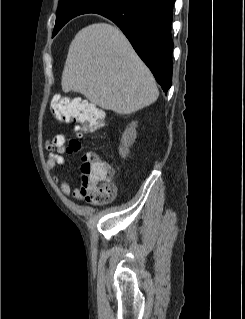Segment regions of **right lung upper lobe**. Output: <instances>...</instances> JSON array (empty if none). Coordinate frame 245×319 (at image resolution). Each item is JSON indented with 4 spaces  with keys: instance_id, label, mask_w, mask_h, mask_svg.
<instances>
[{
    "instance_id": "obj_1",
    "label": "right lung upper lobe",
    "mask_w": 245,
    "mask_h": 319,
    "mask_svg": "<svg viewBox=\"0 0 245 319\" xmlns=\"http://www.w3.org/2000/svg\"><path fill=\"white\" fill-rule=\"evenodd\" d=\"M62 1H67L64 7L65 15L62 19L57 21V26L62 27L70 19L80 14L91 13L82 8L81 3L83 2V0H59V2Z\"/></svg>"
}]
</instances>
